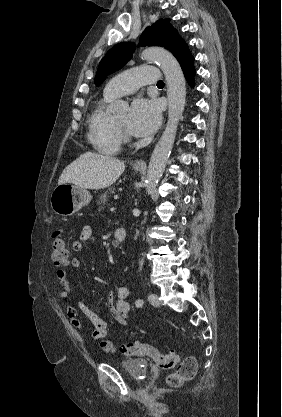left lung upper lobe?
Instances as JSON below:
<instances>
[{"instance_id": "5c2ea615", "label": "left lung upper lobe", "mask_w": 282, "mask_h": 417, "mask_svg": "<svg viewBox=\"0 0 282 417\" xmlns=\"http://www.w3.org/2000/svg\"><path fill=\"white\" fill-rule=\"evenodd\" d=\"M140 44L143 46H161L174 54L177 48L186 43L169 23V19H160L146 28L140 38ZM134 49L135 45L131 42L119 43L111 48L99 63L94 80L96 86H99L108 74L122 68L132 57Z\"/></svg>"}]
</instances>
